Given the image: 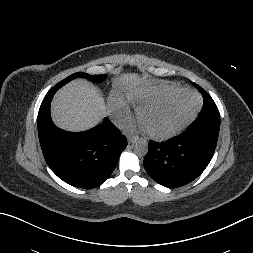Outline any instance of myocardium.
<instances>
[{"instance_id": "f54148a6", "label": "myocardium", "mask_w": 253, "mask_h": 253, "mask_svg": "<svg viewBox=\"0 0 253 253\" xmlns=\"http://www.w3.org/2000/svg\"><path fill=\"white\" fill-rule=\"evenodd\" d=\"M184 94L190 95L194 98V105L191 108V110L186 114V116L173 129H171L167 132L158 133V132H153V131L147 130L148 135L152 139L159 140V141L168 140L170 138L175 137L180 132H182L194 120V118L198 114V112L200 110V106H201V100H200L199 96L196 94V92H194L193 90H191L189 88H179V89L171 92L170 94H168L156 101L145 104L139 108L138 119L142 122V118L147 112H149L153 109H157L159 107H162V106L166 105L167 103H169L170 101H172L173 99H175L176 97H178L180 95H184Z\"/></svg>"}]
</instances>
